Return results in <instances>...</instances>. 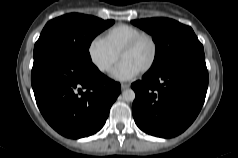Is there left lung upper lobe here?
<instances>
[{
    "label": "left lung upper lobe",
    "instance_id": "left-lung-upper-lobe-1",
    "mask_svg": "<svg viewBox=\"0 0 238 158\" xmlns=\"http://www.w3.org/2000/svg\"><path fill=\"white\" fill-rule=\"evenodd\" d=\"M132 23L152 35L155 59L149 71H155L181 54L203 49L192 28L168 18L133 20Z\"/></svg>",
    "mask_w": 238,
    "mask_h": 158
}]
</instances>
